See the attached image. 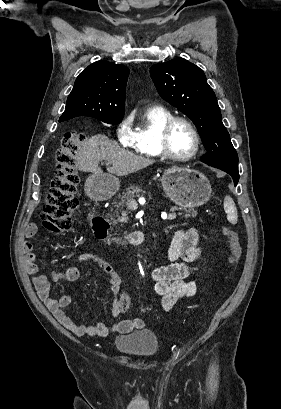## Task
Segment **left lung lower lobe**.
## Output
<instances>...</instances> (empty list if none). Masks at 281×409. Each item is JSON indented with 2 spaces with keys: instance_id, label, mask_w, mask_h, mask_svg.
Instances as JSON below:
<instances>
[{
  "instance_id": "obj_1",
  "label": "left lung lower lobe",
  "mask_w": 281,
  "mask_h": 409,
  "mask_svg": "<svg viewBox=\"0 0 281 409\" xmlns=\"http://www.w3.org/2000/svg\"><path fill=\"white\" fill-rule=\"evenodd\" d=\"M212 167L221 169L228 174L231 175L234 181V185L238 183L239 180V173H238V165L237 164H232V163H215V164H208Z\"/></svg>"
}]
</instances>
